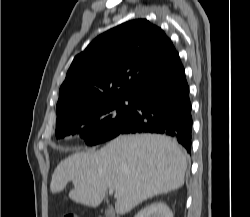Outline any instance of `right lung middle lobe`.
Listing matches in <instances>:
<instances>
[{
    "label": "right lung middle lobe",
    "mask_w": 250,
    "mask_h": 217,
    "mask_svg": "<svg viewBox=\"0 0 250 217\" xmlns=\"http://www.w3.org/2000/svg\"><path fill=\"white\" fill-rule=\"evenodd\" d=\"M129 106L124 99L103 102L78 111L56 123V137L80 135L87 145H96L120 134L133 115L131 98Z\"/></svg>",
    "instance_id": "dd1d6c3e"
}]
</instances>
